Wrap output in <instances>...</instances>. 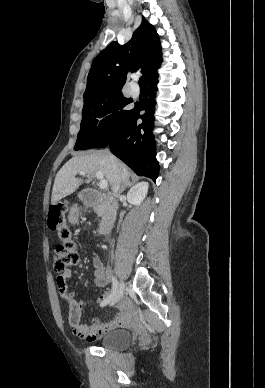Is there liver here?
Segmentation results:
<instances>
[{
	"label": "liver",
	"instance_id": "1",
	"mask_svg": "<svg viewBox=\"0 0 265 388\" xmlns=\"http://www.w3.org/2000/svg\"><path fill=\"white\" fill-rule=\"evenodd\" d=\"M114 164L120 172V178L123 184H126L130 176L127 166L122 164L117 158L111 160L108 150L90 152L88 156H74V158H71L69 162H66L63 168L56 174L51 204H57L59 200L66 198V196H70V194H73V192L81 186L83 180L75 178L76 174H79V172H85V174H87V180H85L86 184H89L95 172H101L110 186H113L115 180Z\"/></svg>",
	"mask_w": 265,
	"mask_h": 388
}]
</instances>
